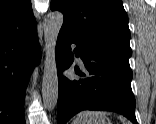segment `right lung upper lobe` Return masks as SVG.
<instances>
[{
    "instance_id": "cb5924a9",
    "label": "right lung upper lobe",
    "mask_w": 156,
    "mask_h": 124,
    "mask_svg": "<svg viewBox=\"0 0 156 124\" xmlns=\"http://www.w3.org/2000/svg\"><path fill=\"white\" fill-rule=\"evenodd\" d=\"M36 29L30 0H0V39Z\"/></svg>"
}]
</instances>
